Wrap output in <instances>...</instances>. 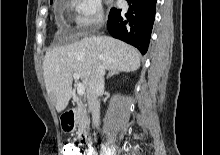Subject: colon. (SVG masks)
<instances>
[{
  "instance_id": "obj_1",
  "label": "colon",
  "mask_w": 220,
  "mask_h": 155,
  "mask_svg": "<svg viewBox=\"0 0 220 155\" xmlns=\"http://www.w3.org/2000/svg\"><path fill=\"white\" fill-rule=\"evenodd\" d=\"M85 145H78L77 143L68 142L64 144L63 147L64 155H86Z\"/></svg>"
}]
</instances>
